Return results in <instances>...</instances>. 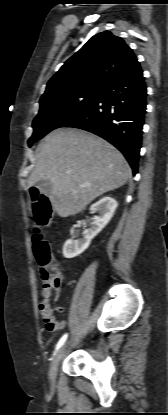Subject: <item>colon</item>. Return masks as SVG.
Here are the masks:
<instances>
[{
	"label": "colon",
	"instance_id": "5ec220e1",
	"mask_svg": "<svg viewBox=\"0 0 168 415\" xmlns=\"http://www.w3.org/2000/svg\"><path fill=\"white\" fill-rule=\"evenodd\" d=\"M33 216L36 223L33 235V252L40 267L45 284L57 286L60 283L58 263L51 251L50 245L43 238L41 229L51 222L52 211L47 198L35 191L32 193Z\"/></svg>",
	"mask_w": 168,
	"mask_h": 415
}]
</instances>
